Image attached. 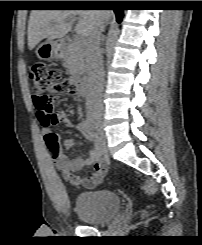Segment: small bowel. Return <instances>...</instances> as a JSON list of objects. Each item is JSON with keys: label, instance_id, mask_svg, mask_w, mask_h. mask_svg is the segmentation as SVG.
Segmentation results:
<instances>
[{"label": "small bowel", "instance_id": "small-bowel-1", "mask_svg": "<svg viewBox=\"0 0 202 245\" xmlns=\"http://www.w3.org/2000/svg\"><path fill=\"white\" fill-rule=\"evenodd\" d=\"M77 113L78 115L81 114L80 107L78 108ZM54 114L58 123L63 122L67 126H72V122L67 119L64 111L56 110L54 111ZM40 126L44 142L48 148H50L55 141L58 144L60 143L61 136L51 131V125H45L40 122ZM78 128L87 139H92L91 135L84 130L82 123H78ZM63 144L67 148H72L75 145H81L82 143L73 139H64ZM100 156L101 152L97 147L92 148L87 157H82L76 154L72 158H70L66 153L62 152V150L59 148L58 154L56 156H51V159L67 182L74 186L81 185L87 189H90L101 182L106 171L105 164L100 159ZM85 165L90 166L91 170L85 176L76 175L75 173Z\"/></svg>", "mask_w": 202, "mask_h": 245}]
</instances>
